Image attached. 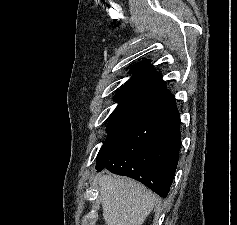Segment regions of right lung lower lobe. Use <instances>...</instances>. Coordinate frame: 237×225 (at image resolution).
Instances as JSON below:
<instances>
[{
    "mask_svg": "<svg viewBox=\"0 0 237 225\" xmlns=\"http://www.w3.org/2000/svg\"><path fill=\"white\" fill-rule=\"evenodd\" d=\"M179 126L174 99L145 111L108 135L97 156V172L128 176L166 197L181 147Z\"/></svg>",
    "mask_w": 237,
    "mask_h": 225,
    "instance_id": "98d812e1",
    "label": "right lung lower lobe"
}]
</instances>
